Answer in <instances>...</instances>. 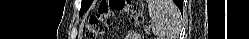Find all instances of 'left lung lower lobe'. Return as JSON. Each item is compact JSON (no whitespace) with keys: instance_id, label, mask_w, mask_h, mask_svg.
<instances>
[{"instance_id":"obj_1","label":"left lung lower lobe","mask_w":249,"mask_h":39,"mask_svg":"<svg viewBox=\"0 0 249 39\" xmlns=\"http://www.w3.org/2000/svg\"><path fill=\"white\" fill-rule=\"evenodd\" d=\"M174 2L177 4L179 9L182 10V7H183V3L181 4L182 0H175Z\"/></svg>"}]
</instances>
